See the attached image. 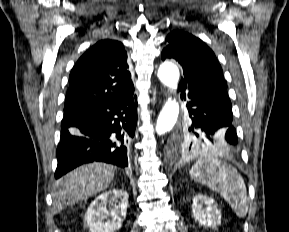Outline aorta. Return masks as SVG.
Listing matches in <instances>:
<instances>
[{"label":"aorta","mask_w":289,"mask_h":232,"mask_svg":"<svg viewBox=\"0 0 289 232\" xmlns=\"http://www.w3.org/2000/svg\"><path fill=\"white\" fill-rule=\"evenodd\" d=\"M158 78L170 90H176L179 81V69L172 62H164L158 69ZM178 115V102L168 98L157 119L156 133L162 135L170 131L176 124Z\"/></svg>","instance_id":"obj_1"}]
</instances>
